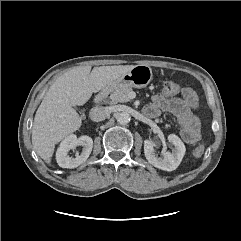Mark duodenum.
<instances>
[{"label":"duodenum","instance_id":"1","mask_svg":"<svg viewBox=\"0 0 241 241\" xmlns=\"http://www.w3.org/2000/svg\"><path fill=\"white\" fill-rule=\"evenodd\" d=\"M111 91V86H106L99 94L95 97V102L98 103L102 101Z\"/></svg>","mask_w":241,"mask_h":241}]
</instances>
